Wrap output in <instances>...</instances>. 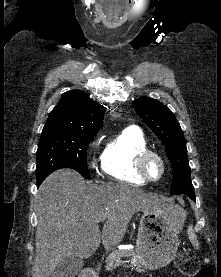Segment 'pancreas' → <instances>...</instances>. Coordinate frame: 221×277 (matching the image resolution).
Returning <instances> with one entry per match:
<instances>
[{
  "mask_svg": "<svg viewBox=\"0 0 221 277\" xmlns=\"http://www.w3.org/2000/svg\"><path fill=\"white\" fill-rule=\"evenodd\" d=\"M122 258H128V261H122ZM131 262L132 266H140L137 261L135 250H116L111 253L106 259V270L111 271L117 266Z\"/></svg>",
  "mask_w": 221,
  "mask_h": 277,
  "instance_id": "pancreas-1",
  "label": "pancreas"
}]
</instances>
